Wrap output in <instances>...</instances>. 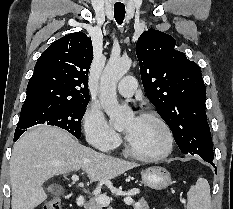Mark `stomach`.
Instances as JSON below:
<instances>
[{
  "instance_id": "1",
  "label": "stomach",
  "mask_w": 233,
  "mask_h": 209,
  "mask_svg": "<svg viewBox=\"0 0 233 209\" xmlns=\"http://www.w3.org/2000/svg\"><path fill=\"white\" fill-rule=\"evenodd\" d=\"M142 182L145 186L162 190L171 184L170 173L161 166H152L141 172Z\"/></svg>"
}]
</instances>
